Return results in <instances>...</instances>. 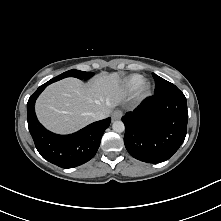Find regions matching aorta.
<instances>
[{
  "label": "aorta",
  "instance_id": "1",
  "mask_svg": "<svg viewBox=\"0 0 221 221\" xmlns=\"http://www.w3.org/2000/svg\"><path fill=\"white\" fill-rule=\"evenodd\" d=\"M112 129L117 133H122L125 130L124 123L122 121H114L112 124Z\"/></svg>",
  "mask_w": 221,
  "mask_h": 221
}]
</instances>
